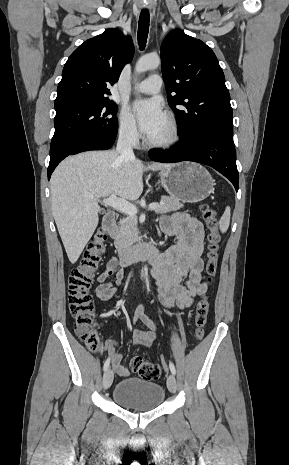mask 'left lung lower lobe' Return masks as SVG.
Masks as SVG:
<instances>
[{"label": "left lung lower lobe", "mask_w": 289, "mask_h": 465, "mask_svg": "<svg viewBox=\"0 0 289 465\" xmlns=\"http://www.w3.org/2000/svg\"><path fill=\"white\" fill-rule=\"evenodd\" d=\"M149 157L163 163L186 160L209 165L227 177L238 190L236 151L232 136L227 134L194 129L188 136L180 138L175 148L150 151Z\"/></svg>", "instance_id": "obj_1"}]
</instances>
